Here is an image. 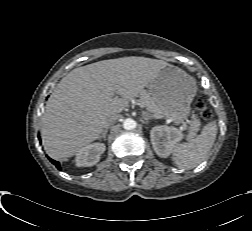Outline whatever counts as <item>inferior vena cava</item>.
Returning <instances> with one entry per match:
<instances>
[{
	"label": "inferior vena cava",
	"instance_id": "602c4592",
	"mask_svg": "<svg viewBox=\"0 0 252 231\" xmlns=\"http://www.w3.org/2000/svg\"><path fill=\"white\" fill-rule=\"evenodd\" d=\"M118 117H119L118 114H111V115H109V116L106 118L105 122H104L105 128H106L107 126L111 125L113 122H115V121L118 119Z\"/></svg>",
	"mask_w": 252,
	"mask_h": 231
}]
</instances>
